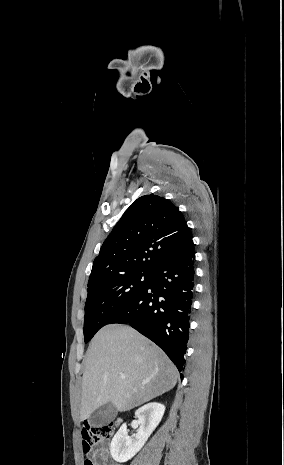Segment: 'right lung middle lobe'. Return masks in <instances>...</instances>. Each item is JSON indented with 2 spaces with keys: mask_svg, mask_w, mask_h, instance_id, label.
<instances>
[{
  "mask_svg": "<svg viewBox=\"0 0 284 465\" xmlns=\"http://www.w3.org/2000/svg\"><path fill=\"white\" fill-rule=\"evenodd\" d=\"M150 276L142 273L128 274L88 288L84 318L85 343L133 301L146 287Z\"/></svg>",
  "mask_w": 284,
  "mask_h": 465,
  "instance_id": "1",
  "label": "right lung middle lobe"
}]
</instances>
